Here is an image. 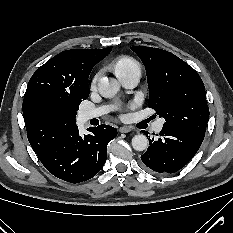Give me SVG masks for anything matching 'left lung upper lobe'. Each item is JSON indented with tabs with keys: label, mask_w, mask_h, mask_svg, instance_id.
Listing matches in <instances>:
<instances>
[{
	"label": "left lung upper lobe",
	"mask_w": 233,
	"mask_h": 233,
	"mask_svg": "<svg viewBox=\"0 0 233 233\" xmlns=\"http://www.w3.org/2000/svg\"><path fill=\"white\" fill-rule=\"evenodd\" d=\"M143 62L149 87L148 106L165 118L164 125L204 136L209 109L198 73L174 54L152 47H131Z\"/></svg>",
	"instance_id": "left-lung-upper-lobe-1"
}]
</instances>
